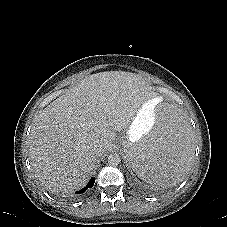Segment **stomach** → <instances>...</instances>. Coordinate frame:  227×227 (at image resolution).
Returning <instances> with one entry per match:
<instances>
[{"mask_svg": "<svg viewBox=\"0 0 227 227\" xmlns=\"http://www.w3.org/2000/svg\"><path fill=\"white\" fill-rule=\"evenodd\" d=\"M154 102L155 98L149 99L138 109L133 120L126 129V139L124 141L125 149L129 143L143 138L148 129L156 122L158 117L157 112L154 109Z\"/></svg>", "mask_w": 227, "mask_h": 227, "instance_id": "stomach-1", "label": "stomach"}]
</instances>
